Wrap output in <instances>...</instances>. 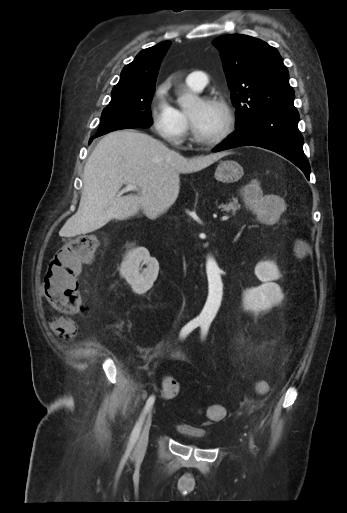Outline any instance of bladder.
I'll list each match as a JSON object with an SVG mask.
<instances>
[{
    "instance_id": "1",
    "label": "bladder",
    "mask_w": 347,
    "mask_h": 513,
    "mask_svg": "<svg viewBox=\"0 0 347 513\" xmlns=\"http://www.w3.org/2000/svg\"><path fill=\"white\" fill-rule=\"evenodd\" d=\"M177 430L180 434L188 438L193 443V446L204 450L214 449V446L204 439L205 432L203 430L188 424H179Z\"/></svg>"
}]
</instances>
